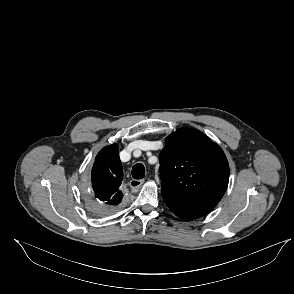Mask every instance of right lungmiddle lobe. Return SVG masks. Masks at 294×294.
<instances>
[{
    "label": "right lung middle lobe",
    "mask_w": 294,
    "mask_h": 294,
    "mask_svg": "<svg viewBox=\"0 0 294 294\" xmlns=\"http://www.w3.org/2000/svg\"><path fill=\"white\" fill-rule=\"evenodd\" d=\"M90 206H91V209L96 212V209H97V205L96 203L94 202V199L91 200L90 202Z\"/></svg>",
    "instance_id": "obj_1"
}]
</instances>
